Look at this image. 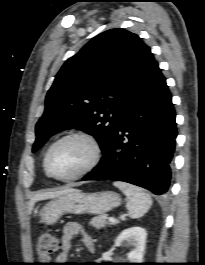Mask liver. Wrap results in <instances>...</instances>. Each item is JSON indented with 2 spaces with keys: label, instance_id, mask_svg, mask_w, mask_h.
Returning a JSON list of instances; mask_svg holds the SVG:
<instances>
[{
  "label": "liver",
  "instance_id": "6515ba94",
  "mask_svg": "<svg viewBox=\"0 0 205 265\" xmlns=\"http://www.w3.org/2000/svg\"><path fill=\"white\" fill-rule=\"evenodd\" d=\"M74 191H78V190L74 188L66 187L64 189L57 190V191L39 192L31 198L30 203H29V208L30 210H32L34 204L38 201L57 198L61 195L67 194L69 192H74Z\"/></svg>",
  "mask_w": 205,
  "mask_h": 265
}]
</instances>
